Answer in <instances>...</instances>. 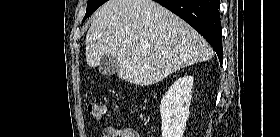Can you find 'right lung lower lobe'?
<instances>
[{
  "instance_id": "1",
  "label": "right lung lower lobe",
  "mask_w": 280,
  "mask_h": 137,
  "mask_svg": "<svg viewBox=\"0 0 280 137\" xmlns=\"http://www.w3.org/2000/svg\"><path fill=\"white\" fill-rule=\"evenodd\" d=\"M199 32L223 62L219 0H155Z\"/></svg>"
}]
</instances>
